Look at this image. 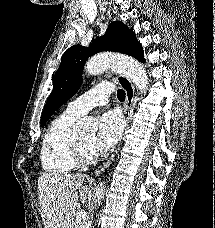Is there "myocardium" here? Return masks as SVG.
<instances>
[{
    "mask_svg": "<svg viewBox=\"0 0 215 228\" xmlns=\"http://www.w3.org/2000/svg\"><path fill=\"white\" fill-rule=\"evenodd\" d=\"M72 151L76 161L80 165H90L96 161L95 154L87 150L77 137H74L73 139Z\"/></svg>",
    "mask_w": 215,
    "mask_h": 228,
    "instance_id": "myocardium-1",
    "label": "myocardium"
}]
</instances>
